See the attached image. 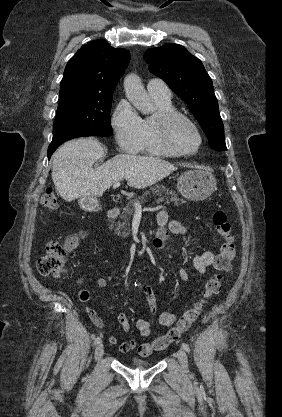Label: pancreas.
I'll return each mask as SVG.
<instances>
[{"label":"pancreas","instance_id":"pancreas-1","mask_svg":"<svg viewBox=\"0 0 282 417\" xmlns=\"http://www.w3.org/2000/svg\"><path fill=\"white\" fill-rule=\"evenodd\" d=\"M150 192H153V194H159V202L164 200V198H166V202H169V200L170 202H174L175 206H178V204H181V202H186V200L179 198V196L175 194V190H170V188H166V186H163V184H161V186L160 184H154V186H150V190H145L143 196H139V200L144 202V196H147V194H150ZM164 194H167V196H164ZM136 202H138V198H135V200H130L127 206H125V209H123V215H119V219H121V221H118L116 227V235H118V237H128V235H130V217L131 215H134Z\"/></svg>","mask_w":282,"mask_h":417}]
</instances>
